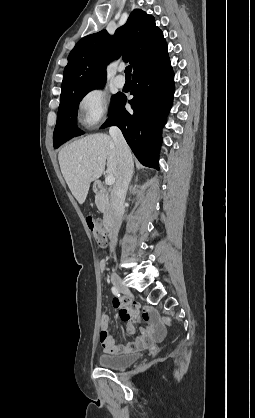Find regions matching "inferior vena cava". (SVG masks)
I'll list each match as a JSON object with an SVG mask.
<instances>
[{
	"instance_id": "1",
	"label": "inferior vena cava",
	"mask_w": 255,
	"mask_h": 418,
	"mask_svg": "<svg viewBox=\"0 0 255 418\" xmlns=\"http://www.w3.org/2000/svg\"><path fill=\"white\" fill-rule=\"evenodd\" d=\"M110 136L115 144L118 155V171L116 182L111 194L112 220L110 250L112 251L117 243V235L122 222L123 205L126 192L133 173V159L129 146L127 145L121 130L118 127L109 129Z\"/></svg>"
}]
</instances>
